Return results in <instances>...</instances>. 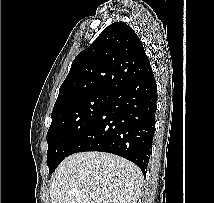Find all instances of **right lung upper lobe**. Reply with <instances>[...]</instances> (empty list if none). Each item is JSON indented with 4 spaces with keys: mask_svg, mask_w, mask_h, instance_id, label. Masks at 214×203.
I'll return each mask as SVG.
<instances>
[{
    "mask_svg": "<svg viewBox=\"0 0 214 203\" xmlns=\"http://www.w3.org/2000/svg\"><path fill=\"white\" fill-rule=\"evenodd\" d=\"M151 70L135 31L124 22H115L73 60L54 108L89 94H110Z\"/></svg>",
    "mask_w": 214,
    "mask_h": 203,
    "instance_id": "right-lung-upper-lobe-1",
    "label": "right lung upper lobe"
}]
</instances>
